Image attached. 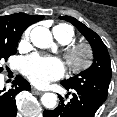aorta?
Here are the masks:
<instances>
[{"instance_id":"1","label":"aorta","mask_w":117,"mask_h":117,"mask_svg":"<svg viewBox=\"0 0 117 117\" xmlns=\"http://www.w3.org/2000/svg\"><path fill=\"white\" fill-rule=\"evenodd\" d=\"M31 42L38 48L46 49L53 46V38L51 32L43 27H35L30 34ZM44 107L52 109L57 104V96L54 93H44L41 97Z\"/></svg>"}]
</instances>
